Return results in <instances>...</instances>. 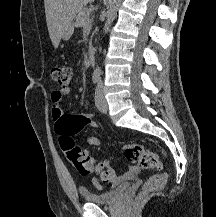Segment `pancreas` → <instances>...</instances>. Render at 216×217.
I'll return each mask as SVG.
<instances>
[{"label":"pancreas","instance_id":"cf45deb5","mask_svg":"<svg viewBox=\"0 0 216 217\" xmlns=\"http://www.w3.org/2000/svg\"><path fill=\"white\" fill-rule=\"evenodd\" d=\"M91 19L89 18V10L83 8L76 16L75 25L77 27H87L91 28Z\"/></svg>","mask_w":216,"mask_h":217}]
</instances>
